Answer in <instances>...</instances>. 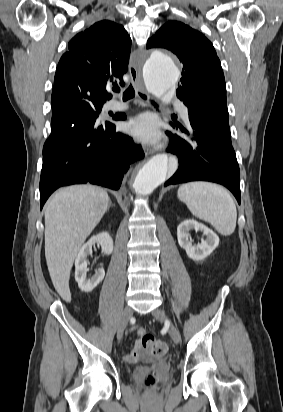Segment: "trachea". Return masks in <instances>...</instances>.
Segmentation results:
<instances>
[{
    "label": "trachea",
    "instance_id": "trachea-1",
    "mask_svg": "<svg viewBox=\"0 0 283 412\" xmlns=\"http://www.w3.org/2000/svg\"><path fill=\"white\" fill-rule=\"evenodd\" d=\"M113 91L115 92H120V88L119 87H115L113 88ZM135 96V91L132 87V85H130L123 93V100H129L131 98H133Z\"/></svg>",
    "mask_w": 283,
    "mask_h": 412
}]
</instances>
